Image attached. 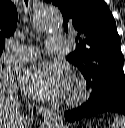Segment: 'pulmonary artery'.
I'll return each mask as SVG.
<instances>
[{
    "label": "pulmonary artery",
    "mask_w": 125,
    "mask_h": 128,
    "mask_svg": "<svg viewBox=\"0 0 125 128\" xmlns=\"http://www.w3.org/2000/svg\"><path fill=\"white\" fill-rule=\"evenodd\" d=\"M64 45V36L52 34L47 37L46 48L51 51L60 50ZM8 59L12 63H25L34 61L39 57V49L34 46L12 44Z\"/></svg>",
    "instance_id": "obj_1"
}]
</instances>
